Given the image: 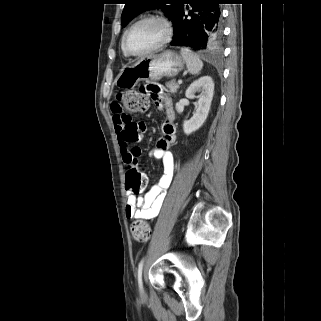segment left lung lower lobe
<instances>
[{
    "mask_svg": "<svg viewBox=\"0 0 321 321\" xmlns=\"http://www.w3.org/2000/svg\"><path fill=\"white\" fill-rule=\"evenodd\" d=\"M184 4H189L191 10L186 12ZM219 4L223 0H183L172 18L174 36L170 44L219 54L223 43ZM186 8L189 9L188 5Z\"/></svg>",
    "mask_w": 321,
    "mask_h": 321,
    "instance_id": "left-lung-lower-lobe-1",
    "label": "left lung lower lobe"
}]
</instances>
